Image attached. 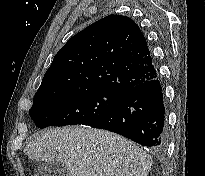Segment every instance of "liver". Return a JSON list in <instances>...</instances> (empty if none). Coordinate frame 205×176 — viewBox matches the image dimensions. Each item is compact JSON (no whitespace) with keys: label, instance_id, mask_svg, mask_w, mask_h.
<instances>
[{"label":"liver","instance_id":"liver-1","mask_svg":"<svg viewBox=\"0 0 205 176\" xmlns=\"http://www.w3.org/2000/svg\"><path fill=\"white\" fill-rule=\"evenodd\" d=\"M29 159L56 161L70 176H147L152 158L132 141L106 130L50 128L24 148Z\"/></svg>","mask_w":205,"mask_h":176}]
</instances>
